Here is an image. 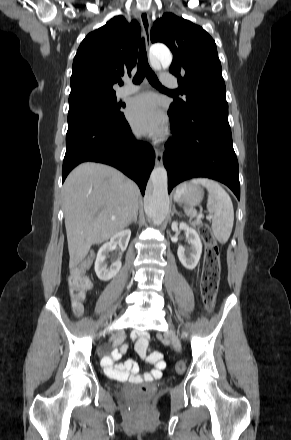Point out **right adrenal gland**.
Returning <instances> with one entry per match:
<instances>
[{
    "instance_id": "obj_1",
    "label": "right adrenal gland",
    "mask_w": 291,
    "mask_h": 440,
    "mask_svg": "<svg viewBox=\"0 0 291 440\" xmlns=\"http://www.w3.org/2000/svg\"><path fill=\"white\" fill-rule=\"evenodd\" d=\"M137 216H138V214H136V215L134 216V218L129 222L128 225H131L133 222L136 223V222H137Z\"/></svg>"
}]
</instances>
